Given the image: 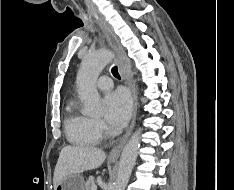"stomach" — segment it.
Wrapping results in <instances>:
<instances>
[{
	"label": "stomach",
	"instance_id": "0dacf381",
	"mask_svg": "<svg viewBox=\"0 0 234 190\" xmlns=\"http://www.w3.org/2000/svg\"><path fill=\"white\" fill-rule=\"evenodd\" d=\"M55 190H84V178L80 174H70L61 180Z\"/></svg>",
	"mask_w": 234,
	"mask_h": 190
}]
</instances>
